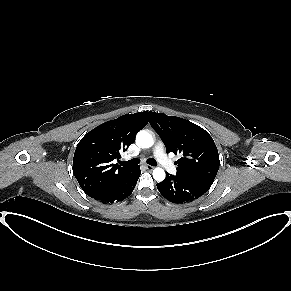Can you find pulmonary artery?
<instances>
[{
	"label": "pulmonary artery",
	"mask_w": 291,
	"mask_h": 291,
	"mask_svg": "<svg viewBox=\"0 0 291 291\" xmlns=\"http://www.w3.org/2000/svg\"><path fill=\"white\" fill-rule=\"evenodd\" d=\"M154 154L163 168H165L171 174L176 173V171H177L176 167L174 166L172 161L167 157L165 150H164V146L162 143H158L155 146Z\"/></svg>",
	"instance_id": "obj_1"
}]
</instances>
